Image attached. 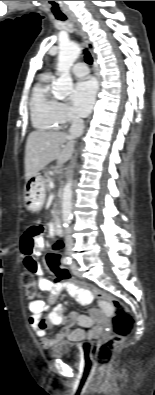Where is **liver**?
<instances>
[{"label":"liver","mask_w":155,"mask_h":395,"mask_svg":"<svg viewBox=\"0 0 155 395\" xmlns=\"http://www.w3.org/2000/svg\"><path fill=\"white\" fill-rule=\"evenodd\" d=\"M74 139L65 132L33 131L25 149V180L28 182L49 163L67 162L74 152Z\"/></svg>","instance_id":"obj_1"}]
</instances>
